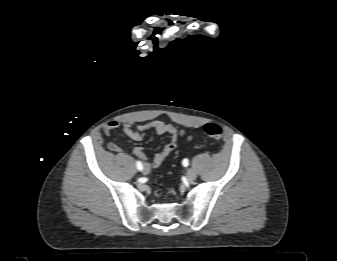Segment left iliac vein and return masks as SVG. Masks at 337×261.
<instances>
[{
    "label": "left iliac vein",
    "instance_id": "4c4485c4",
    "mask_svg": "<svg viewBox=\"0 0 337 261\" xmlns=\"http://www.w3.org/2000/svg\"><path fill=\"white\" fill-rule=\"evenodd\" d=\"M196 177H197L196 171L194 169H192V168L188 169V171H187V178L192 181V180H195Z\"/></svg>",
    "mask_w": 337,
    "mask_h": 261
}]
</instances>
